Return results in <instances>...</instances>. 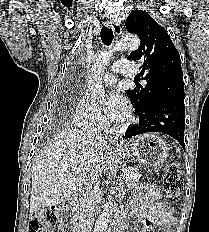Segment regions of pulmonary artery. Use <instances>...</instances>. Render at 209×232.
I'll return each mask as SVG.
<instances>
[{
	"label": "pulmonary artery",
	"mask_w": 209,
	"mask_h": 232,
	"mask_svg": "<svg viewBox=\"0 0 209 232\" xmlns=\"http://www.w3.org/2000/svg\"><path fill=\"white\" fill-rule=\"evenodd\" d=\"M116 74L134 75L135 70L132 64L127 60L117 61L112 66V72L104 75L103 81L108 85L114 84L116 82Z\"/></svg>",
	"instance_id": "obj_1"
}]
</instances>
